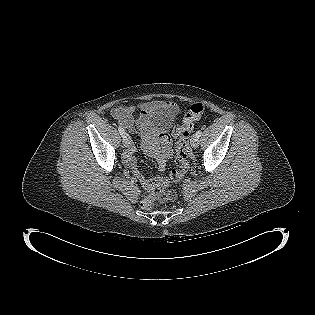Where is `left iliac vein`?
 Here are the masks:
<instances>
[{
  "label": "left iliac vein",
  "instance_id": "left-iliac-vein-1",
  "mask_svg": "<svg viewBox=\"0 0 315 315\" xmlns=\"http://www.w3.org/2000/svg\"><path fill=\"white\" fill-rule=\"evenodd\" d=\"M190 143H191V146L193 148H197L199 146V143H200L199 142V138L196 135H193L192 138H191Z\"/></svg>",
  "mask_w": 315,
  "mask_h": 315
}]
</instances>
